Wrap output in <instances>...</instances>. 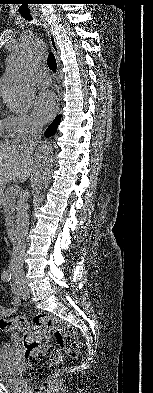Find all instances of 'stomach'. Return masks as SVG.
Instances as JSON below:
<instances>
[{
    "instance_id": "stomach-1",
    "label": "stomach",
    "mask_w": 153,
    "mask_h": 393,
    "mask_svg": "<svg viewBox=\"0 0 153 393\" xmlns=\"http://www.w3.org/2000/svg\"><path fill=\"white\" fill-rule=\"evenodd\" d=\"M2 194H3V189H0V197L2 196Z\"/></svg>"
}]
</instances>
